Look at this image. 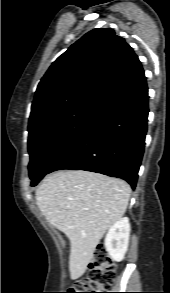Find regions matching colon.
<instances>
[{"label": "colon", "instance_id": "colon-1", "mask_svg": "<svg viewBox=\"0 0 170 293\" xmlns=\"http://www.w3.org/2000/svg\"><path fill=\"white\" fill-rule=\"evenodd\" d=\"M115 282L113 264L108 259L106 249L99 246L93 253L86 277L78 280L70 288L71 293H107Z\"/></svg>", "mask_w": 170, "mask_h": 293}]
</instances>
